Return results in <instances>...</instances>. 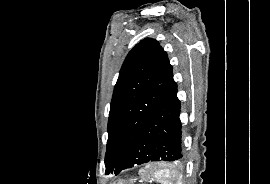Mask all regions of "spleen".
<instances>
[{
  "instance_id": "spleen-1",
  "label": "spleen",
  "mask_w": 270,
  "mask_h": 184,
  "mask_svg": "<svg viewBox=\"0 0 270 184\" xmlns=\"http://www.w3.org/2000/svg\"><path fill=\"white\" fill-rule=\"evenodd\" d=\"M140 174L145 181L155 178L160 184H182V175L177 172L174 166L149 164L140 171Z\"/></svg>"
}]
</instances>
